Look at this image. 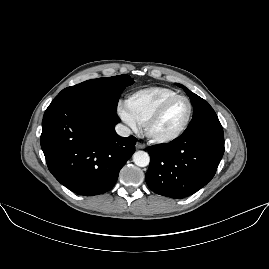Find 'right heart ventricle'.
<instances>
[{"label":"right heart ventricle","instance_id":"1","mask_svg":"<svg viewBox=\"0 0 269 269\" xmlns=\"http://www.w3.org/2000/svg\"><path fill=\"white\" fill-rule=\"evenodd\" d=\"M176 95V91L165 87L141 89L129 95L126 101L127 111L139 126H143L161 103Z\"/></svg>","mask_w":269,"mask_h":269}]
</instances>
